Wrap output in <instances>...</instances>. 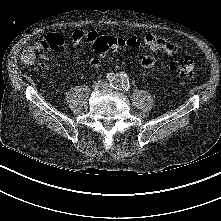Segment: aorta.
Returning <instances> with one entry per match:
<instances>
[{
  "label": "aorta",
  "instance_id": "aorta-1",
  "mask_svg": "<svg viewBox=\"0 0 221 221\" xmlns=\"http://www.w3.org/2000/svg\"><path fill=\"white\" fill-rule=\"evenodd\" d=\"M121 81L124 82V83H126V79H121V78H119V79H118V85L121 83Z\"/></svg>",
  "mask_w": 221,
  "mask_h": 221
}]
</instances>
